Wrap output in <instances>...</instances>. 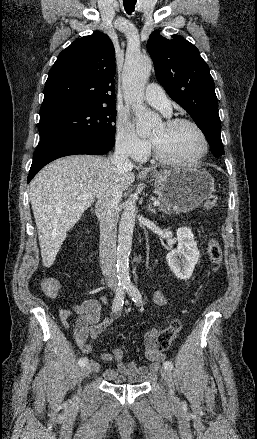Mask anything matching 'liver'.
I'll list each match as a JSON object with an SVG mask.
<instances>
[{
    "instance_id": "6515ba94",
    "label": "liver",
    "mask_w": 257,
    "mask_h": 439,
    "mask_svg": "<svg viewBox=\"0 0 257 439\" xmlns=\"http://www.w3.org/2000/svg\"><path fill=\"white\" fill-rule=\"evenodd\" d=\"M134 180L131 169L115 166L109 158L100 156H68L43 168L30 186L43 265L52 266L66 233L95 198L114 186L123 192ZM80 195L91 198L78 200Z\"/></svg>"
}]
</instances>
